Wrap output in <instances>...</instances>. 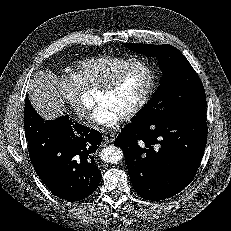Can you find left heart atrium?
<instances>
[{
	"instance_id": "1",
	"label": "left heart atrium",
	"mask_w": 231,
	"mask_h": 231,
	"mask_svg": "<svg viewBox=\"0 0 231 231\" xmlns=\"http://www.w3.org/2000/svg\"><path fill=\"white\" fill-rule=\"evenodd\" d=\"M122 117V114L109 103L101 102L94 110L91 120L97 125L113 127L121 121Z\"/></svg>"
}]
</instances>
